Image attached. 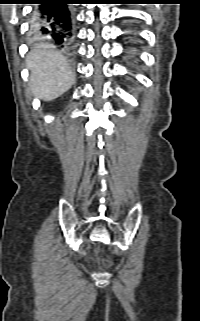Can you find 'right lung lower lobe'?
Wrapping results in <instances>:
<instances>
[{"instance_id":"right-lung-lower-lobe-1","label":"right lung lower lobe","mask_w":200,"mask_h":321,"mask_svg":"<svg viewBox=\"0 0 200 321\" xmlns=\"http://www.w3.org/2000/svg\"><path fill=\"white\" fill-rule=\"evenodd\" d=\"M74 0H33V26L49 34L54 41L70 47L73 42L72 10Z\"/></svg>"}]
</instances>
